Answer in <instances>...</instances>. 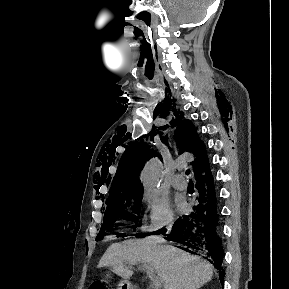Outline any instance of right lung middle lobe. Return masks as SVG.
Returning a JSON list of instances; mask_svg holds the SVG:
<instances>
[{
  "instance_id": "dd1d6c3e",
  "label": "right lung middle lobe",
  "mask_w": 289,
  "mask_h": 289,
  "mask_svg": "<svg viewBox=\"0 0 289 289\" xmlns=\"http://www.w3.org/2000/svg\"><path fill=\"white\" fill-rule=\"evenodd\" d=\"M142 197L143 194H137L130 198L108 205L104 214V221L101 226V230L97 236V239L104 234L105 230H111L112 227L110 226V224L114 223L117 218L130 220L137 223V217L136 215H134V213H139Z\"/></svg>"
}]
</instances>
